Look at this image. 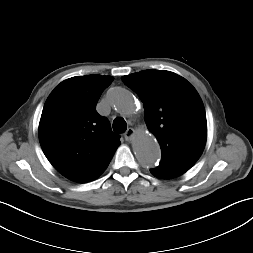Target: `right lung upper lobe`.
Instances as JSON below:
<instances>
[{
    "instance_id": "obj_1",
    "label": "right lung upper lobe",
    "mask_w": 253,
    "mask_h": 253,
    "mask_svg": "<svg viewBox=\"0 0 253 253\" xmlns=\"http://www.w3.org/2000/svg\"><path fill=\"white\" fill-rule=\"evenodd\" d=\"M112 76H76L61 82L45 102L39 140L50 163L66 178L89 182L107 168L120 136L96 111Z\"/></svg>"
}]
</instances>
